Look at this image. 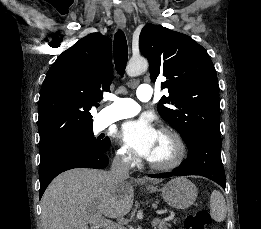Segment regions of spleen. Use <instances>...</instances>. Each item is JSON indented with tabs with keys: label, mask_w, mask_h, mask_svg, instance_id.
I'll return each instance as SVG.
<instances>
[{
	"label": "spleen",
	"mask_w": 261,
	"mask_h": 229,
	"mask_svg": "<svg viewBox=\"0 0 261 229\" xmlns=\"http://www.w3.org/2000/svg\"><path fill=\"white\" fill-rule=\"evenodd\" d=\"M210 215L214 221H225L227 215L226 201L219 193V191H213L210 197Z\"/></svg>",
	"instance_id": "1"
}]
</instances>
